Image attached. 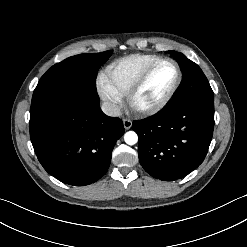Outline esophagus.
Segmentation results:
<instances>
[{
    "mask_svg": "<svg viewBox=\"0 0 247 247\" xmlns=\"http://www.w3.org/2000/svg\"><path fill=\"white\" fill-rule=\"evenodd\" d=\"M123 125L126 130L130 129L132 126V121L130 118H124L123 119Z\"/></svg>",
    "mask_w": 247,
    "mask_h": 247,
    "instance_id": "obj_1",
    "label": "esophagus"
}]
</instances>
